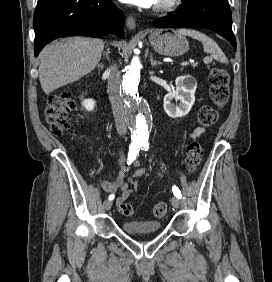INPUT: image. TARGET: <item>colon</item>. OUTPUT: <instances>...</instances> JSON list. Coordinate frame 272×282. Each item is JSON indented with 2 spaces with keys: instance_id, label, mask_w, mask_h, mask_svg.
I'll return each mask as SVG.
<instances>
[{
  "instance_id": "obj_1",
  "label": "colon",
  "mask_w": 272,
  "mask_h": 282,
  "mask_svg": "<svg viewBox=\"0 0 272 282\" xmlns=\"http://www.w3.org/2000/svg\"><path fill=\"white\" fill-rule=\"evenodd\" d=\"M210 95L217 108H223L229 98V75L219 67L212 69L210 73ZM76 108V103L69 93L53 96L49 100L46 110L47 121L51 126V132L55 136L66 133L70 128L67 115ZM218 111L212 107H202L197 116L200 126H211L218 120ZM202 158V146L198 141H191L186 147L185 164L190 172H194ZM131 180V179H130ZM167 203L158 202L153 206L152 215L155 218H163L167 213ZM122 215L132 216L134 207L127 202L119 205Z\"/></svg>"
}]
</instances>
